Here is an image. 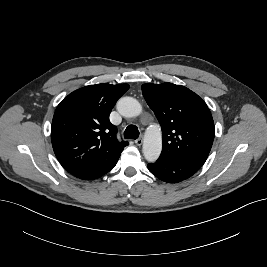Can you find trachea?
I'll list each match as a JSON object with an SVG mask.
<instances>
[{
    "label": "trachea",
    "mask_w": 267,
    "mask_h": 267,
    "mask_svg": "<svg viewBox=\"0 0 267 267\" xmlns=\"http://www.w3.org/2000/svg\"><path fill=\"white\" fill-rule=\"evenodd\" d=\"M139 137V130L135 125H129L124 131L125 139H137Z\"/></svg>",
    "instance_id": "obj_1"
}]
</instances>
